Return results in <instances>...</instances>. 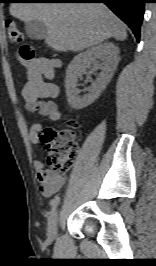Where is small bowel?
<instances>
[{
  "instance_id": "small-bowel-1",
  "label": "small bowel",
  "mask_w": 156,
  "mask_h": 266,
  "mask_svg": "<svg viewBox=\"0 0 156 266\" xmlns=\"http://www.w3.org/2000/svg\"><path fill=\"white\" fill-rule=\"evenodd\" d=\"M22 63L27 68V82L23 88L26 110L41 115L51 121L59 120L61 118V112L57 104L52 100H45L46 98H55L58 95L57 86L46 80L53 74L52 64L44 59L31 61L23 60ZM43 128L44 125L42 122H35L32 124L29 132V139L33 145L39 143L40 133L43 131ZM34 155L38 158L40 152L35 150ZM34 167L40 184L41 193L45 197L53 196L64 185V177L46 171L43 162L39 159H36L34 162Z\"/></svg>"
}]
</instances>
